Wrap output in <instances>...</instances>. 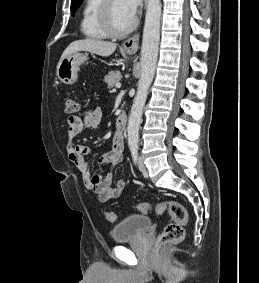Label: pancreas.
Returning a JSON list of instances; mask_svg holds the SVG:
<instances>
[{"label":"pancreas","mask_w":259,"mask_h":283,"mask_svg":"<svg viewBox=\"0 0 259 283\" xmlns=\"http://www.w3.org/2000/svg\"><path fill=\"white\" fill-rule=\"evenodd\" d=\"M121 73L118 70L110 71L105 77L104 81L107 83L108 88H113L121 80Z\"/></svg>","instance_id":"pancreas-1"}]
</instances>
